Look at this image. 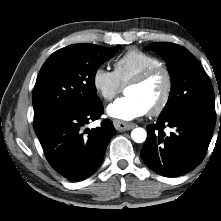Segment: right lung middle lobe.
I'll use <instances>...</instances> for the list:
<instances>
[{"label":"right lung middle lobe","mask_w":221,"mask_h":221,"mask_svg":"<svg viewBox=\"0 0 221 221\" xmlns=\"http://www.w3.org/2000/svg\"><path fill=\"white\" fill-rule=\"evenodd\" d=\"M119 47L74 44L54 52L42 66L33 91L35 131L62 112L84 110L99 102L97 69Z\"/></svg>","instance_id":"dd1d6c3e"}]
</instances>
